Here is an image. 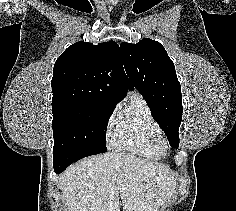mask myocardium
Wrapping results in <instances>:
<instances>
[{
  "instance_id": "obj_1",
  "label": "myocardium",
  "mask_w": 236,
  "mask_h": 211,
  "mask_svg": "<svg viewBox=\"0 0 236 211\" xmlns=\"http://www.w3.org/2000/svg\"><path fill=\"white\" fill-rule=\"evenodd\" d=\"M149 145L160 156H166L171 149L169 141L162 131L156 132L151 136Z\"/></svg>"
}]
</instances>
